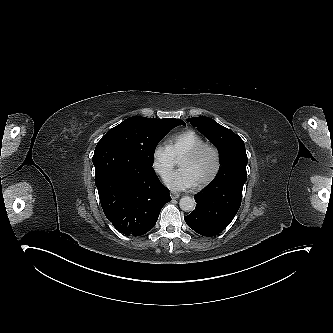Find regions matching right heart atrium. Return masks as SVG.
<instances>
[{
  "label": "right heart atrium",
  "instance_id": "1",
  "mask_svg": "<svg viewBox=\"0 0 333 333\" xmlns=\"http://www.w3.org/2000/svg\"><path fill=\"white\" fill-rule=\"evenodd\" d=\"M177 161L169 148L158 146L153 152V167L157 173L166 177L174 169Z\"/></svg>",
  "mask_w": 333,
  "mask_h": 333
}]
</instances>
